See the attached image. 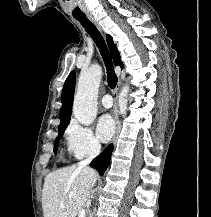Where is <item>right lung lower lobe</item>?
Masks as SVG:
<instances>
[{
  "label": "right lung lower lobe",
  "mask_w": 211,
  "mask_h": 217,
  "mask_svg": "<svg viewBox=\"0 0 211 217\" xmlns=\"http://www.w3.org/2000/svg\"><path fill=\"white\" fill-rule=\"evenodd\" d=\"M111 154L112 145L110 144L98 157H96L90 163V166L96 169L100 175H103L109 165Z\"/></svg>",
  "instance_id": "1"
}]
</instances>
